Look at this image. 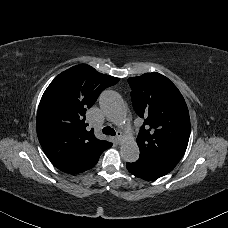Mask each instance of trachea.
I'll list each match as a JSON object with an SVG mask.
<instances>
[{
	"mask_svg": "<svg viewBox=\"0 0 228 228\" xmlns=\"http://www.w3.org/2000/svg\"><path fill=\"white\" fill-rule=\"evenodd\" d=\"M102 132L106 135H111V136H115V130L109 126H106L103 128Z\"/></svg>",
	"mask_w": 228,
	"mask_h": 228,
	"instance_id": "obj_1",
	"label": "trachea"
}]
</instances>
